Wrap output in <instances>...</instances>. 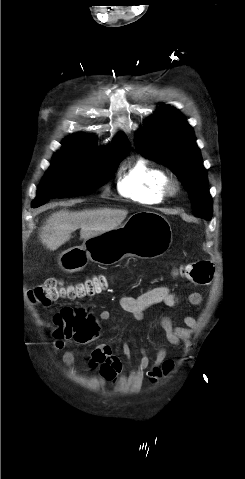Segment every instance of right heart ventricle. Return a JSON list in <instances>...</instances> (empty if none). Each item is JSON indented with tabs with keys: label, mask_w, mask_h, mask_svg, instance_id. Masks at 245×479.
Instances as JSON below:
<instances>
[{
	"label": "right heart ventricle",
	"mask_w": 245,
	"mask_h": 479,
	"mask_svg": "<svg viewBox=\"0 0 245 479\" xmlns=\"http://www.w3.org/2000/svg\"><path fill=\"white\" fill-rule=\"evenodd\" d=\"M169 176L161 167L138 159L128 166L118 180V191L124 197L142 204H157L166 194Z\"/></svg>",
	"instance_id": "e07e8e85"
}]
</instances>
